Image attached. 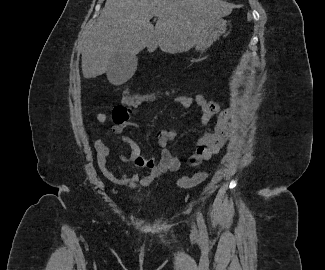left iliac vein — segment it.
I'll use <instances>...</instances> for the list:
<instances>
[{
    "mask_svg": "<svg viewBox=\"0 0 325 270\" xmlns=\"http://www.w3.org/2000/svg\"><path fill=\"white\" fill-rule=\"evenodd\" d=\"M192 228H193V233H196L197 230H196V226H195V224H193Z\"/></svg>",
    "mask_w": 325,
    "mask_h": 270,
    "instance_id": "1",
    "label": "left iliac vein"
}]
</instances>
